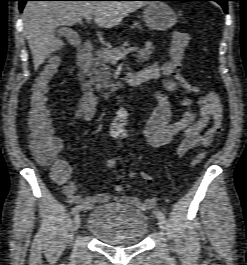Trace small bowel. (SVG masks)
Segmentation results:
<instances>
[{
	"label": "small bowel",
	"mask_w": 247,
	"mask_h": 265,
	"mask_svg": "<svg viewBox=\"0 0 247 265\" xmlns=\"http://www.w3.org/2000/svg\"><path fill=\"white\" fill-rule=\"evenodd\" d=\"M136 74L143 83L160 81L162 86L156 91L157 106L144 128V136L152 146L162 147L176 141L177 154L183 156L190 149L210 145L215 127L221 123L223 116V107L216 92L206 91L202 95H196L197 109L192 108V99L181 93L180 102L185 107V112L179 120L171 121L168 94L178 92V84L173 77L171 64L168 61L163 65L152 64ZM97 102L95 95L83 94L78 101L75 117L86 122L90 121L95 115ZM210 119L213 123L207 127ZM111 134L116 139H124L127 136L124 127L118 123L111 126ZM68 168L67 176L55 178V181L61 186L62 194L70 204L100 205L114 199L143 211L152 209L156 204V199L152 196L141 200L137 197L121 195L123 187L119 184L114 186L113 194L99 193L85 196L79 192L80 184L70 179L71 166L68 165ZM129 176L134 178L136 172H131ZM140 177L147 185L153 184L150 174L142 172Z\"/></svg>",
	"instance_id": "small-bowel-1"
}]
</instances>
